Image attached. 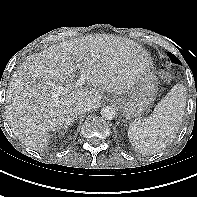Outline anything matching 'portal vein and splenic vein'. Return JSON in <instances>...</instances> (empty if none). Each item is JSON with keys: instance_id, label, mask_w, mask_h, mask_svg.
I'll use <instances>...</instances> for the list:
<instances>
[{"instance_id": "portal-vein-and-splenic-vein-1", "label": "portal vein and splenic vein", "mask_w": 197, "mask_h": 197, "mask_svg": "<svg viewBox=\"0 0 197 197\" xmlns=\"http://www.w3.org/2000/svg\"><path fill=\"white\" fill-rule=\"evenodd\" d=\"M86 77L84 74H81L79 79L75 82L76 87H80L85 83ZM50 85L53 87L54 92L52 93V98L58 99L61 95H64L68 93V88L67 87H62L59 85H56L55 83H50Z\"/></svg>"}]
</instances>
